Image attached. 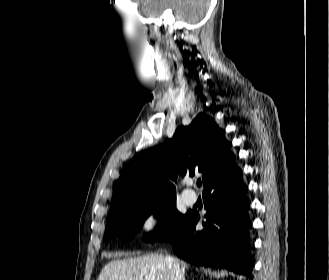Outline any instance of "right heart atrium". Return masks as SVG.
<instances>
[{"instance_id": "1", "label": "right heart atrium", "mask_w": 329, "mask_h": 280, "mask_svg": "<svg viewBox=\"0 0 329 280\" xmlns=\"http://www.w3.org/2000/svg\"><path fill=\"white\" fill-rule=\"evenodd\" d=\"M163 223V213L160 208L154 207L149 209L141 218L140 232L145 237L155 235Z\"/></svg>"}]
</instances>
